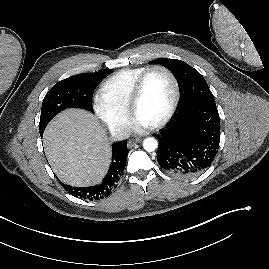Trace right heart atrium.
Returning <instances> with one entry per match:
<instances>
[{"label": "right heart atrium", "mask_w": 269, "mask_h": 269, "mask_svg": "<svg viewBox=\"0 0 269 269\" xmlns=\"http://www.w3.org/2000/svg\"><path fill=\"white\" fill-rule=\"evenodd\" d=\"M93 108L99 119L114 133L125 134L130 127L127 111L116 108L101 95L94 98Z\"/></svg>", "instance_id": "obj_1"}]
</instances>
